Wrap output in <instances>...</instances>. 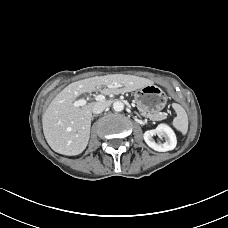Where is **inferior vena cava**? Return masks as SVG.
<instances>
[{"mask_svg": "<svg viewBox=\"0 0 228 228\" xmlns=\"http://www.w3.org/2000/svg\"><path fill=\"white\" fill-rule=\"evenodd\" d=\"M108 107L107 102H97L92 108V112L94 114H100L102 113L106 108Z\"/></svg>", "mask_w": 228, "mask_h": 228, "instance_id": "602c4592", "label": "inferior vena cava"}]
</instances>
